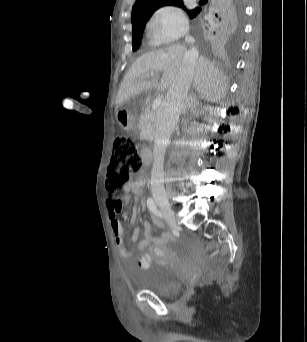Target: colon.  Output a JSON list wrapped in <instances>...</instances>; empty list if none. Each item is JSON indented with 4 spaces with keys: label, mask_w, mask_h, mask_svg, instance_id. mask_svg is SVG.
Here are the masks:
<instances>
[{
    "label": "colon",
    "mask_w": 307,
    "mask_h": 342,
    "mask_svg": "<svg viewBox=\"0 0 307 342\" xmlns=\"http://www.w3.org/2000/svg\"><path fill=\"white\" fill-rule=\"evenodd\" d=\"M141 167V156L134 138L126 135L117 137L113 156L107 174V192L111 198V207L120 201L121 190L132 174Z\"/></svg>",
    "instance_id": "1"
}]
</instances>
